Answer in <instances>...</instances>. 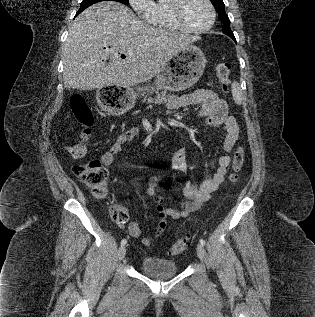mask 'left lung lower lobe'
<instances>
[{"label":"left lung lower lobe","mask_w":315,"mask_h":317,"mask_svg":"<svg viewBox=\"0 0 315 317\" xmlns=\"http://www.w3.org/2000/svg\"><path fill=\"white\" fill-rule=\"evenodd\" d=\"M235 42H236V39H235V37L233 36V37H231Z\"/></svg>","instance_id":"0a47b994"}]
</instances>
